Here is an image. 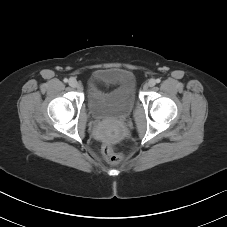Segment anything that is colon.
I'll return each instance as SVG.
<instances>
[{
    "mask_svg": "<svg viewBox=\"0 0 227 227\" xmlns=\"http://www.w3.org/2000/svg\"><path fill=\"white\" fill-rule=\"evenodd\" d=\"M103 157L110 163H120L123 156L117 153L112 145L105 144L102 146Z\"/></svg>",
    "mask_w": 227,
    "mask_h": 227,
    "instance_id": "obj_1",
    "label": "colon"
}]
</instances>
